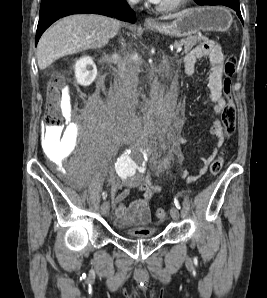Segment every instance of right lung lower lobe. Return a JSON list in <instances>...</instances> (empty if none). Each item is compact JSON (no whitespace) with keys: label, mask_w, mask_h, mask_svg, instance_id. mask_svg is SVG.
I'll use <instances>...</instances> for the list:
<instances>
[{"label":"right lung lower lobe","mask_w":267,"mask_h":298,"mask_svg":"<svg viewBox=\"0 0 267 298\" xmlns=\"http://www.w3.org/2000/svg\"><path fill=\"white\" fill-rule=\"evenodd\" d=\"M80 13H94L135 22V13L126 0H41L36 32L37 44L42 33L59 18Z\"/></svg>","instance_id":"1"}]
</instances>
